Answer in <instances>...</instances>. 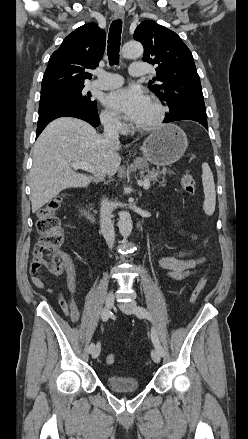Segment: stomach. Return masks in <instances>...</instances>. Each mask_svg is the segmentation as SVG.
<instances>
[{
	"instance_id": "obj_1",
	"label": "stomach",
	"mask_w": 248,
	"mask_h": 439,
	"mask_svg": "<svg viewBox=\"0 0 248 439\" xmlns=\"http://www.w3.org/2000/svg\"><path fill=\"white\" fill-rule=\"evenodd\" d=\"M188 140L185 132L174 124H166L152 132L141 150L144 159L157 166H167L178 161L185 153Z\"/></svg>"
}]
</instances>
